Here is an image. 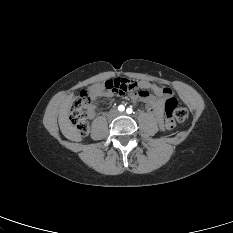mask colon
I'll list each match as a JSON object with an SVG mask.
<instances>
[{
  "instance_id": "obj_1",
  "label": "colon",
  "mask_w": 233,
  "mask_h": 233,
  "mask_svg": "<svg viewBox=\"0 0 233 233\" xmlns=\"http://www.w3.org/2000/svg\"><path fill=\"white\" fill-rule=\"evenodd\" d=\"M106 89L113 91L116 94L122 95L125 92L132 91L137 87V83L134 80L125 78H116L107 80L104 82ZM90 105L89 93L83 90L73 100L70 119L74 124L78 134L85 137L89 132V124L87 121V112ZM165 126L167 129H173L180 122H183L187 116L188 111L184 107H179L177 100L173 97H169L165 101Z\"/></svg>"
}]
</instances>
